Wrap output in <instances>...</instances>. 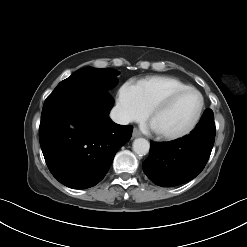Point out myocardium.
<instances>
[{"instance_id":"obj_1","label":"myocardium","mask_w":247,"mask_h":247,"mask_svg":"<svg viewBox=\"0 0 247 247\" xmlns=\"http://www.w3.org/2000/svg\"><path fill=\"white\" fill-rule=\"evenodd\" d=\"M186 92H195L198 94L200 98V105H199V108L197 110V113L193 121L190 123V125L187 128H185L184 130L178 133H174V134H165V133H160L154 130V133L160 139L165 140V141H174V140L184 138L190 133H192L197 127V125L199 124L202 118L203 112H204V108H205V99H204L203 94L197 88L191 87V86L174 90L166 94L164 97L159 99L157 102H155L148 111V120L151 121L154 115H156L158 112L167 108L177 96L183 93H186Z\"/></svg>"}]
</instances>
